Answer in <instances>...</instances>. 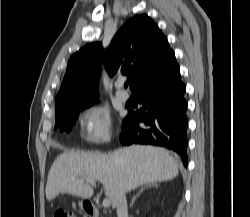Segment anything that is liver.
Listing matches in <instances>:
<instances>
[{"label": "liver", "mask_w": 250, "mask_h": 217, "mask_svg": "<svg viewBox=\"0 0 250 217\" xmlns=\"http://www.w3.org/2000/svg\"><path fill=\"white\" fill-rule=\"evenodd\" d=\"M178 172L177 161L167 150L155 146L132 145L108 154L68 151L54 160L45 193L48 201L60 193L89 199L94 192L85 182L89 178L103 184L112 206L117 207L122 193L172 180Z\"/></svg>", "instance_id": "6515ba94"}]
</instances>
